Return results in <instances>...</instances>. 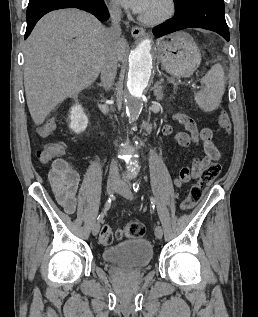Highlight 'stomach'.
<instances>
[{"label":"stomach","instance_id":"stomach-1","mask_svg":"<svg viewBox=\"0 0 258 317\" xmlns=\"http://www.w3.org/2000/svg\"><path fill=\"white\" fill-rule=\"evenodd\" d=\"M157 54L163 68L171 76H191L201 62V52L187 32H176L171 40H160Z\"/></svg>","mask_w":258,"mask_h":317}]
</instances>
